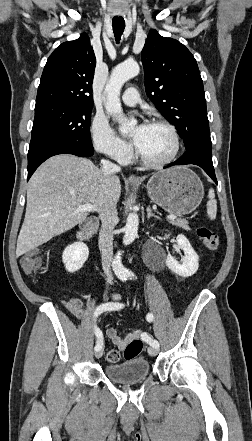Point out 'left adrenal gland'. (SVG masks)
<instances>
[{
  "instance_id": "obj_1",
  "label": "left adrenal gland",
  "mask_w": 252,
  "mask_h": 441,
  "mask_svg": "<svg viewBox=\"0 0 252 441\" xmlns=\"http://www.w3.org/2000/svg\"><path fill=\"white\" fill-rule=\"evenodd\" d=\"M150 218H156L159 219V217L157 215H155L154 213H152V210L150 207L147 208V219L149 220Z\"/></svg>"
}]
</instances>
